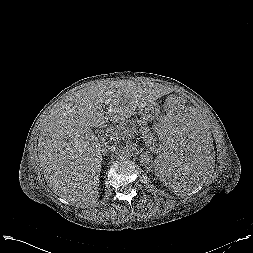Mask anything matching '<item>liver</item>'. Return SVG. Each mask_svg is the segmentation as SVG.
Wrapping results in <instances>:
<instances>
[{
	"label": "liver",
	"mask_w": 253,
	"mask_h": 253,
	"mask_svg": "<svg viewBox=\"0 0 253 253\" xmlns=\"http://www.w3.org/2000/svg\"><path fill=\"white\" fill-rule=\"evenodd\" d=\"M157 95L152 84L125 80L94 84L61 101L43 120L38 139L40 164L52 191L77 207L94 205L102 150L92 128L125 121Z\"/></svg>",
	"instance_id": "6515ba94"
}]
</instances>
